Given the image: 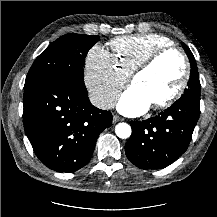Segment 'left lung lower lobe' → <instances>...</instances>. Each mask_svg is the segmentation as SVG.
Instances as JSON below:
<instances>
[{
  "label": "left lung lower lobe",
  "instance_id": "obj_1",
  "mask_svg": "<svg viewBox=\"0 0 217 217\" xmlns=\"http://www.w3.org/2000/svg\"><path fill=\"white\" fill-rule=\"evenodd\" d=\"M199 115L200 100L184 96L155 117L132 121L128 159L141 169L167 167L187 150Z\"/></svg>",
  "mask_w": 217,
  "mask_h": 217
}]
</instances>
